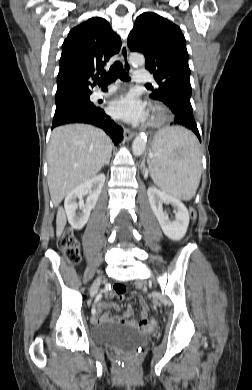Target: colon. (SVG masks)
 Returning <instances> with one entry per match:
<instances>
[{
  "mask_svg": "<svg viewBox=\"0 0 252 390\" xmlns=\"http://www.w3.org/2000/svg\"><path fill=\"white\" fill-rule=\"evenodd\" d=\"M190 214L193 218L196 216V212L194 209L190 210ZM59 248L63 253L67 262L71 264H76L80 259V251L78 240L76 239L74 233L71 230H67L61 239L59 240ZM113 291L117 295H124L126 292V287L123 284H115L113 287ZM130 296L132 298H140L136 292H131Z\"/></svg>",
  "mask_w": 252,
  "mask_h": 390,
  "instance_id": "obj_1",
  "label": "colon"
}]
</instances>
